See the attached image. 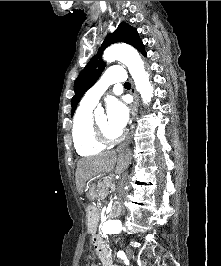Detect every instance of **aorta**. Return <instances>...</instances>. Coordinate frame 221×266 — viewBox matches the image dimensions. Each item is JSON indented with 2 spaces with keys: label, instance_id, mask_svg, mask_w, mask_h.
Instances as JSON below:
<instances>
[{
  "label": "aorta",
  "instance_id": "1",
  "mask_svg": "<svg viewBox=\"0 0 221 266\" xmlns=\"http://www.w3.org/2000/svg\"><path fill=\"white\" fill-rule=\"evenodd\" d=\"M103 59L107 62L118 60L126 65L143 102L148 103L151 100L154 88L149 82L144 62L135 49L123 44H114L105 50ZM101 229L108 234H119L122 231V224L117 219H109L101 225Z\"/></svg>",
  "mask_w": 221,
  "mask_h": 266
}]
</instances>
